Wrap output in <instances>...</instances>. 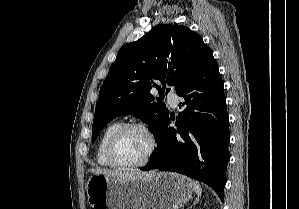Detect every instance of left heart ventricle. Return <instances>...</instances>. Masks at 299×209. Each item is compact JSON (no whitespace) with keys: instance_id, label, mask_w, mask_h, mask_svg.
<instances>
[{"instance_id":"left-heart-ventricle-1","label":"left heart ventricle","mask_w":299,"mask_h":209,"mask_svg":"<svg viewBox=\"0 0 299 209\" xmlns=\"http://www.w3.org/2000/svg\"><path fill=\"white\" fill-rule=\"evenodd\" d=\"M148 140L139 130L124 131L116 140L114 159L120 164H131L141 160L148 149Z\"/></svg>"}]
</instances>
